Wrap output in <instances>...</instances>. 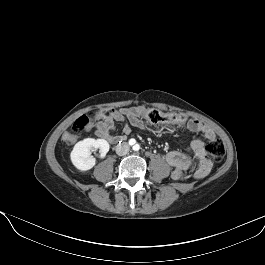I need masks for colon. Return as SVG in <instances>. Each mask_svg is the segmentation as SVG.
Here are the masks:
<instances>
[{"mask_svg": "<svg viewBox=\"0 0 265 265\" xmlns=\"http://www.w3.org/2000/svg\"><path fill=\"white\" fill-rule=\"evenodd\" d=\"M114 112L111 108H103L79 117L72 125L67 140L74 142L80 134L89 131L97 119L111 117ZM139 115L152 124H184L187 121L183 114L165 113L157 109H143L139 112ZM205 150L214 162H221L225 156L224 143L218 137L209 139Z\"/></svg>", "mask_w": 265, "mask_h": 265, "instance_id": "1", "label": "colon"}]
</instances>
